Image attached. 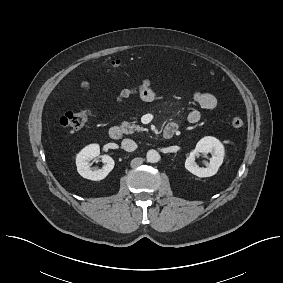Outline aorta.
<instances>
[{
	"label": "aorta",
	"mask_w": 283,
	"mask_h": 283,
	"mask_svg": "<svg viewBox=\"0 0 283 283\" xmlns=\"http://www.w3.org/2000/svg\"><path fill=\"white\" fill-rule=\"evenodd\" d=\"M147 161L150 163H156L160 160V155L156 150H149L146 155Z\"/></svg>",
	"instance_id": "1"
}]
</instances>
